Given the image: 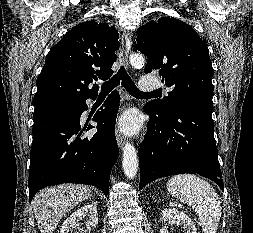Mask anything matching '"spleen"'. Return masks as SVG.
<instances>
[{
	"label": "spleen",
	"mask_w": 253,
	"mask_h": 233,
	"mask_svg": "<svg viewBox=\"0 0 253 233\" xmlns=\"http://www.w3.org/2000/svg\"><path fill=\"white\" fill-rule=\"evenodd\" d=\"M168 192L195 210L204 233H216L222 214L219 196L205 180L193 174L173 176L167 182Z\"/></svg>",
	"instance_id": "obj_1"
}]
</instances>
